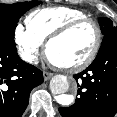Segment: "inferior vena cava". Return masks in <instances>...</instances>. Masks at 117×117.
<instances>
[{"instance_id": "inferior-vena-cava-1", "label": "inferior vena cava", "mask_w": 117, "mask_h": 117, "mask_svg": "<svg viewBox=\"0 0 117 117\" xmlns=\"http://www.w3.org/2000/svg\"><path fill=\"white\" fill-rule=\"evenodd\" d=\"M33 63H38L37 59L31 60Z\"/></svg>"}]
</instances>
